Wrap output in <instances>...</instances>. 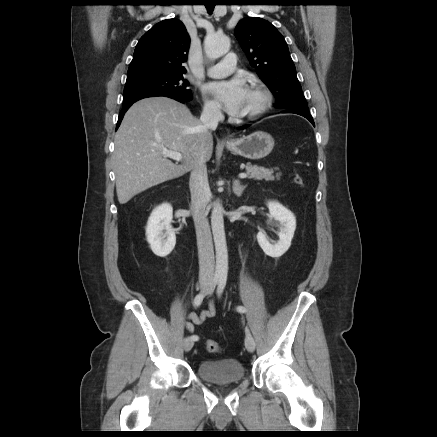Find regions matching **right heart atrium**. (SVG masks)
<instances>
[{
  "label": "right heart atrium",
  "mask_w": 437,
  "mask_h": 437,
  "mask_svg": "<svg viewBox=\"0 0 437 437\" xmlns=\"http://www.w3.org/2000/svg\"><path fill=\"white\" fill-rule=\"evenodd\" d=\"M203 113L207 117L216 118L220 115V108L215 101L205 99Z\"/></svg>",
  "instance_id": "1"
}]
</instances>
